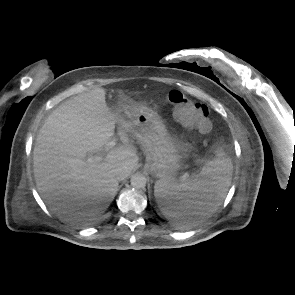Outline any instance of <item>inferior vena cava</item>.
<instances>
[{"instance_id":"inferior-vena-cava-1","label":"inferior vena cava","mask_w":295,"mask_h":295,"mask_svg":"<svg viewBox=\"0 0 295 295\" xmlns=\"http://www.w3.org/2000/svg\"><path fill=\"white\" fill-rule=\"evenodd\" d=\"M127 177V172L123 168H119L117 170V178L118 180H123Z\"/></svg>"}]
</instances>
